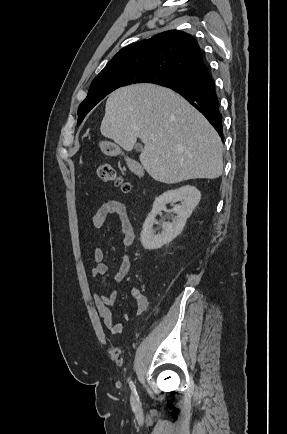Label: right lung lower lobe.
I'll list each match as a JSON object with an SVG mask.
<instances>
[{
	"mask_svg": "<svg viewBox=\"0 0 287 434\" xmlns=\"http://www.w3.org/2000/svg\"><path fill=\"white\" fill-rule=\"evenodd\" d=\"M166 87L182 95L199 110L222 138L223 124L219 99L206 63L203 62L187 70L176 82Z\"/></svg>",
	"mask_w": 287,
	"mask_h": 434,
	"instance_id": "98d812e1",
	"label": "right lung lower lobe"
}]
</instances>
